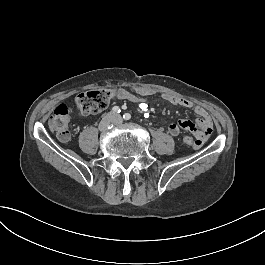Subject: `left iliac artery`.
I'll return each mask as SVG.
<instances>
[{
  "label": "left iliac artery",
  "mask_w": 265,
  "mask_h": 265,
  "mask_svg": "<svg viewBox=\"0 0 265 265\" xmlns=\"http://www.w3.org/2000/svg\"><path fill=\"white\" fill-rule=\"evenodd\" d=\"M123 118H124L125 120H130V119H131V115H130L129 113H125V114L123 115Z\"/></svg>",
  "instance_id": "44dca946"
}]
</instances>
